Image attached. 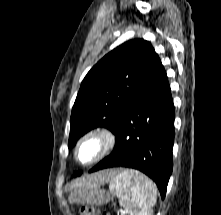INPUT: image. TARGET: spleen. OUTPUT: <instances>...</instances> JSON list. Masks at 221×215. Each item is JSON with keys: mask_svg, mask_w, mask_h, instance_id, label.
<instances>
[{"mask_svg": "<svg viewBox=\"0 0 221 215\" xmlns=\"http://www.w3.org/2000/svg\"><path fill=\"white\" fill-rule=\"evenodd\" d=\"M110 190L128 208L131 215H151L156 203L157 188L139 172L124 170L110 180Z\"/></svg>", "mask_w": 221, "mask_h": 215, "instance_id": "spleen-1", "label": "spleen"}]
</instances>
